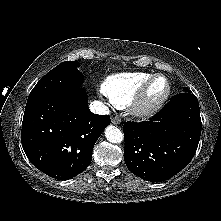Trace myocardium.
Returning <instances> with one entry per match:
<instances>
[{
	"label": "myocardium",
	"mask_w": 221,
	"mask_h": 221,
	"mask_svg": "<svg viewBox=\"0 0 221 221\" xmlns=\"http://www.w3.org/2000/svg\"><path fill=\"white\" fill-rule=\"evenodd\" d=\"M158 78H163L167 83L164 95L154 103L148 102L149 90ZM172 92V85L169 78L164 74H153L149 77L138 90L137 94L130 103V112L137 118H149L158 113L166 104Z\"/></svg>",
	"instance_id": "myocardium-1"
}]
</instances>
